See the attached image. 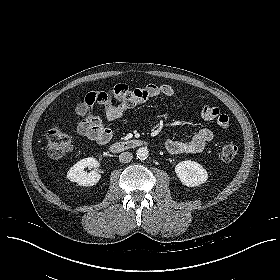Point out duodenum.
Segmentation results:
<instances>
[{"label": "duodenum", "mask_w": 280, "mask_h": 280, "mask_svg": "<svg viewBox=\"0 0 280 280\" xmlns=\"http://www.w3.org/2000/svg\"><path fill=\"white\" fill-rule=\"evenodd\" d=\"M145 146V142L142 140L130 139V140H123L112 144L109 150L112 153H121L124 151L137 149Z\"/></svg>", "instance_id": "1"}]
</instances>
